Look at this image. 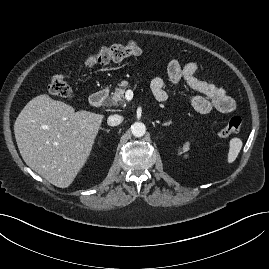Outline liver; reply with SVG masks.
<instances>
[{
	"label": "liver",
	"mask_w": 269,
	"mask_h": 269,
	"mask_svg": "<svg viewBox=\"0 0 269 269\" xmlns=\"http://www.w3.org/2000/svg\"><path fill=\"white\" fill-rule=\"evenodd\" d=\"M103 118L39 95L14 123L18 149L32 170L51 184L67 188L87 162Z\"/></svg>",
	"instance_id": "obj_1"
}]
</instances>
